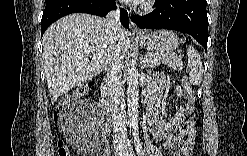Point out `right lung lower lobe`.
Returning <instances> with one entry per match:
<instances>
[{"label": "right lung lower lobe", "mask_w": 247, "mask_h": 156, "mask_svg": "<svg viewBox=\"0 0 247 156\" xmlns=\"http://www.w3.org/2000/svg\"><path fill=\"white\" fill-rule=\"evenodd\" d=\"M115 9V0H46V7L41 20V36L49 25L65 15L81 12L106 16L110 10ZM120 15L121 24L129 28L127 11L121 8Z\"/></svg>", "instance_id": "obj_1"}]
</instances>
